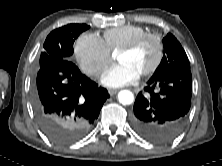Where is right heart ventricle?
<instances>
[{"mask_svg": "<svg viewBox=\"0 0 222 166\" xmlns=\"http://www.w3.org/2000/svg\"><path fill=\"white\" fill-rule=\"evenodd\" d=\"M146 33L140 26L124 25L107 29L103 33V42L110 53L117 52L134 38Z\"/></svg>", "mask_w": 222, "mask_h": 166, "instance_id": "e07e8e85", "label": "right heart ventricle"}]
</instances>
